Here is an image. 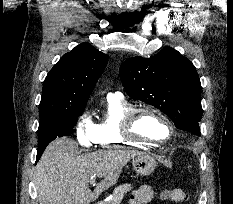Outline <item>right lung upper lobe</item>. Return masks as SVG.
Wrapping results in <instances>:
<instances>
[{"instance_id":"obj_1","label":"right lung upper lobe","mask_w":233,"mask_h":204,"mask_svg":"<svg viewBox=\"0 0 233 204\" xmlns=\"http://www.w3.org/2000/svg\"><path fill=\"white\" fill-rule=\"evenodd\" d=\"M106 64L107 56L89 43L66 53L45 78L40 117L84 110Z\"/></svg>"}]
</instances>
